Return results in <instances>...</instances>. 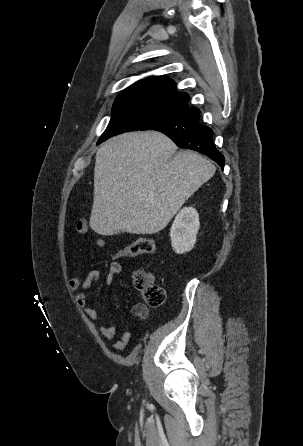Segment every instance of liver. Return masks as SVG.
<instances>
[{"label":"liver","instance_id":"1","mask_svg":"<svg viewBox=\"0 0 303 446\" xmlns=\"http://www.w3.org/2000/svg\"><path fill=\"white\" fill-rule=\"evenodd\" d=\"M176 150L171 139L156 131L107 140L96 153L90 227L100 235L164 229L216 171L198 153L186 150L174 156Z\"/></svg>","mask_w":303,"mask_h":446}]
</instances>
